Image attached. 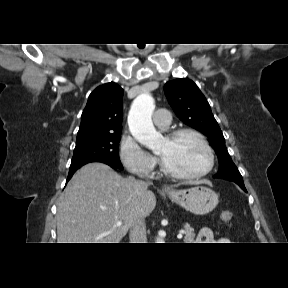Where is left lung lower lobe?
Returning a JSON list of instances; mask_svg holds the SVG:
<instances>
[{"mask_svg":"<svg viewBox=\"0 0 288 288\" xmlns=\"http://www.w3.org/2000/svg\"><path fill=\"white\" fill-rule=\"evenodd\" d=\"M239 186H240L245 192H247L244 184H241V185H239Z\"/></svg>","mask_w":288,"mask_h":288,"instance_id":"1","label":"left lung lower lobe"}]
</instances>
